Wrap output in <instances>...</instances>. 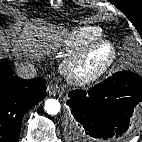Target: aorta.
Instances as JSON below:
<instances>
[{
    "instance_id": "obj_1",
    "label": "aorta",
    "mask_w": 142,
    "mask_h": 142,
    "mask_svg": "<svg viewBox=\"0 0 142 142\" xmlns=\"http://www.w3.org/2000/svg\"><path fill=\"white\" fill-rule=\"evenodd\" d=\"M44 108L49 115H56L60 112L61 106L58 100L47 99Z\"/></svg>"
}]
</instances>
